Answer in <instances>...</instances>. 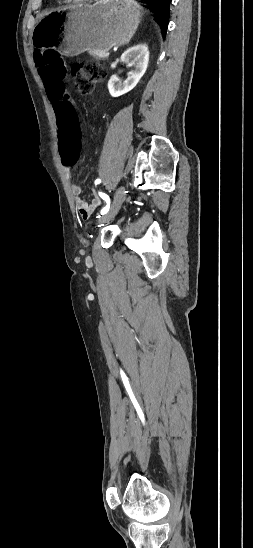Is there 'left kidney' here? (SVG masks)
<instances>
[{
	"label": "left kidney",
	"instance_id": "obj_1",
	"mask_svg": "<svg viewBox=\"0 0 253 548\" xmlns=\"http://www.w3.org/2000/svg\"><path fill=\"white\" fill-rule=\"evenodd\" d=\"M121 61L128 66H134L125 81H117L110 78L108 81V90L112 97H119L131 91L145 74L149 62V50L146 44H138L121 56Z\"/></svg>",
	"mask_w": 253,
	"mask_h": 548
}]
</instances>
